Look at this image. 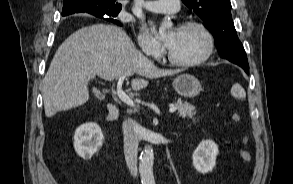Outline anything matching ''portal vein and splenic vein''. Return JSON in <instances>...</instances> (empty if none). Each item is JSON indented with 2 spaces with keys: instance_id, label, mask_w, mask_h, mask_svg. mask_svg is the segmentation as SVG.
<instances>
[{
  "instance_id": "18ae733b",
  "label": "portal vein and splenic vein",
  "mask_w": 293,
  "mask_h": 184,
  "mask_svg": "<svg viewBox=\"0 0 293 184\" xmlns=\"http://www.w3.org/2000/svg\"><path fill=\"white\" fill-rule=\"evenodd\" d=\"M125 78H126L125 75H122L118 78L116 93L121 101H123L124 103H126L127 105H129L131 107H134L135 106L134 101L122 90V84H123ZM176 110H177V107L172 106V107H170L169 112L174 113V112H176Z\"/></svg>"
}]
</instances>
